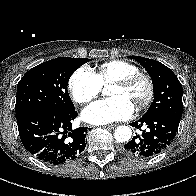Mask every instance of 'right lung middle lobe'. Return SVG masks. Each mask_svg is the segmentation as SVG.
I'll list each match as a JSON object with an SVG mask.
<instances>
[{"label": "right lung middle lobe", "mask_w": 196, "mask_h": 196, "mask_svg": "<svg viewBox=\"0 0 196 196\" xmlns=\"http://www.w3.org/2000/svg\"><path fill=\"white\" fill-rule=\"evenodd\" d=\"M88 61L87 58L60 57L26 72L17 85L16 117L41 108L75 110L67 91L68 81L72 73Z\"/></svg>", "instance_id": "dd1d6c3e"}]
</instances>
